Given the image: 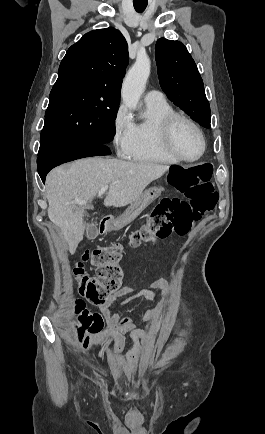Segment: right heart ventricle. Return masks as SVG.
<instances>
[{"label":"right heart ventricle","instance_id":"obj_1","mask_svg":"<svg viewBox=\"0 0 265 434\" xmlns=\"http://www.w3.org/2000/svg\"><path fill=\"white\" fill-rule=\"evenodd\" d=\"M173 113V107L164 99L161 103L145 102L141 118L135 124L133 152L127 157L130 161L167 166L180 163L171 155L164 141L165 122Z\"/></svg>","mask_w":265,"mask_h":434}]
</instances>
